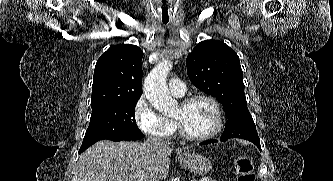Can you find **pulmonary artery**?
<instances>
[{
    "instance_id": "1",
    "label": "pulmonary artery",
    "mask_w": 333,
    "mask_h": 181,
    "mask_svg": "<svg viewBox=\"0 0 333 181\" xmlns=\"http://www.w3.org/2000/svg\"><path fill=\"white\" fill-rule=\"evenodd\" d=\"M169 89L172 95L176 97H182L186 92V86L179 78H173L170 80Z\"/></svg>"
}]
</instances>
